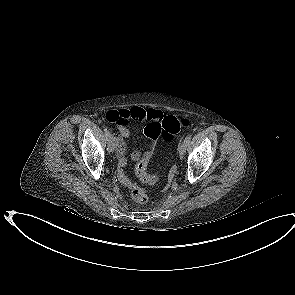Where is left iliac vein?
Segmentation results:
<instances>
[{
	"mask_svg": "<svg viewBox=\"0 0 295 295\" xmlns=\"http://www.w3.org/2000/svg\"><path fill=\"white\" fill-rule=\"evenodd\" d=\"M187 146H188V143L186 141H183L180 144V146L178 148V153H179L180 157H182L185 154Z\"/></svg>",
	"mask_w": 295,
	"mask_h": 295,
	"instance_id": "obj_1",
	"label": "left iliac vein"
}]
</instances>
